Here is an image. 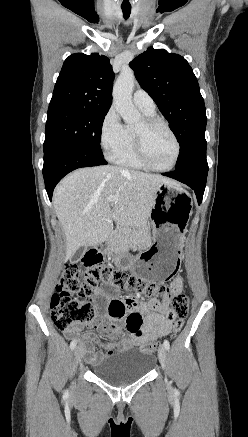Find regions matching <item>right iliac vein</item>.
<instances>
[{"mask_svg":"<svg viewBox=\"0 0 248 437\" xmlns=\"http://www.w3.org/2000/svg\"><path fill=\"white\" fill-rule=\"evenodd\" d=\"M84 353V348L83 346H77L74 350V358H75V363L78 365L81 361V358L83 356Z\"/></svg>","mask_w":248,"mask_h":437,"instance_id":"63e3f726","label":"right iliac vein"}]
</instances>
